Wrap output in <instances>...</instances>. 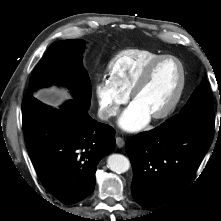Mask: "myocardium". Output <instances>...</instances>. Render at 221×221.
<instances>
[{"mask_svg": "<svg viewBox=\"0 0 221 221\" xmlns=\"http://www.w3.org/2000/svg\"><path fill=\"white\" fill-rule=\"evenodd\" d=\"M165 60H174L178 64L179 69H180V81H179L177 91L174 97L172 98V100L170 101V103L160 112L152 115V118L155 120L164 119L168 117L170 114H172V112L177 108L178 104L180 103L182 99V96L186 87V79H187L186 69H185L183 62L174 55H161L157 57L146 66V68L144 69V71L142 72V74L140 75L136 83L134 84L130 93L131 98L134 101L137 95L140 93V91L148 83L156 66H158L160 63H162Z\"/></svg>", "mask_w": 221, "mask_h": 221, "instance_id": "myocardium-1", "label": "myocardium"}]
</instances>
